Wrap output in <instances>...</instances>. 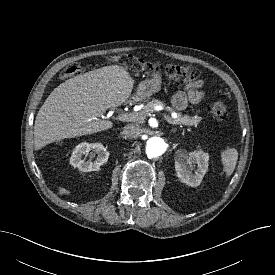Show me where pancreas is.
Returning a JSON list of instances; mask_svg holds the SVG:
<instances>
[{
  "mask_svg": "<svg viewBox=\"0 0 275 275\" xmlns=\"http://www.w3.org/2000/svg\"><path fill=\"white\" fill-rule=\"evenodd\" d=\"M157 105H163V103L161 101H158L155 99L148 102L147 105L139 112L136 120H139V121L144 120L147 113L153 112L154 108ZM168 109L170 110V108H168ZM169 119L175 124H184L187 126H193V125L196 126L202 120V118L200 116H197V115L196 116H188V115L183 116L181 113H178L176 118L169 117Z\"/></svg>",
  "mask_w": 275,
  "mask_h": 275,
  "instance_id": "obj_1",
  "label": "pancreas"
}]
</instances>
